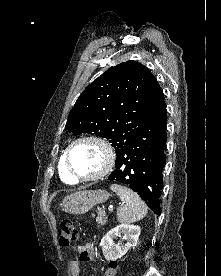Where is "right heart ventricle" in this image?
<instances>
[{"label":"right heart ventricle","instance_id":"right-heart-ventricle-1","mask_svg":"<svg viewBox=\"0 0 221 276\" xmlns=\"http://www.w3.org/2000/svg\"><path fill=\"white\" fill-rule=\"evenodd\" d=\"M59 173H60V177L61 179L66 182V183H70L73 184L76 181L70 177V175L67 173L66 167H65V162H64V155L61 156L60 160H59Z\"/></svg>","mask_w":221,"mask_h":276}]
</instances>
